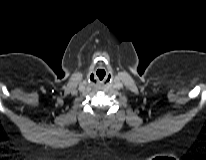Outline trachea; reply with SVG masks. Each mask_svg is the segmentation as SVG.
<instances>
[{"mask_svg":"<svg viewBox=\"0 0 206 160\" xmlns=\"http://www.w3.org/2000/svg\"><path fill=\"white\" fill-rule=\"evenodd\" d=\"M97 76H98V79H99L100 81H102L103 78H104V76H105V72H104L103 74H100V73H98V71H97Z\"/></svg>","mask_w":206,"mask_h":160,"instance_id":"trachea-1","label":"trachea"}]
</instances>
